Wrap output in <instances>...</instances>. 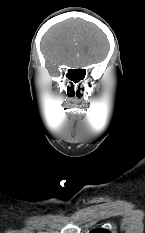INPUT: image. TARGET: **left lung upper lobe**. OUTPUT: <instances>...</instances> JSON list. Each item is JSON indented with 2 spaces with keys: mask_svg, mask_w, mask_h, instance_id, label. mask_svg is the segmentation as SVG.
<instances>
[{
  "mask_svg": "<svg viewBox=\"0 0 145 233\" xmlns=\"http://www.w3.org/2000/svg\"><path fill=\"white\" fill-rule=\"evenodd\" d=\"M90 233H110V232L106 229H94L90 231Z\"/></svg>",
  "mask_w": 145,
  "mask_h": 233,
  "instance_id": "left-lung-upper-lobe-1",
  "label": "left lung upper lobe"
}]
</instances>
